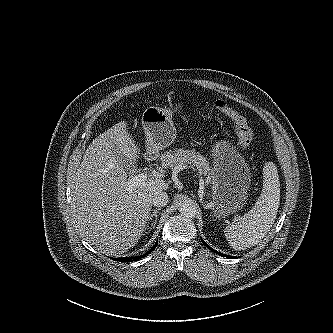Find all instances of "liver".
Returning a JSON list of instances; mask_svg holds the SVG:
<instances>
[{"instance_id":"6515ba94","label":"liver","mask_w":333,"mask_h":333,"mask_svg":"<svg viewBox=\"0 0 333 333\" xmlns=\"http://www.w3.org/2000/svg\"><path fill=\"white\" fill-rule=\"evenodd\" d=\"M139 149L120 122L89 145L73 186L72 209L76 228L103 254L119 256L142 236L155 192L168 183L149 176L132 186L126 169L135 165Z\"/></svg>"}]
</instances>
